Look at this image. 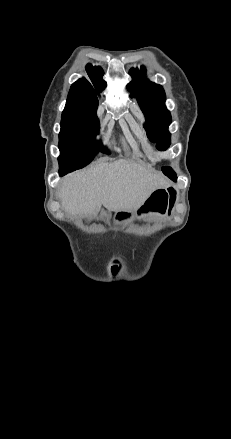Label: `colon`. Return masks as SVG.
Segmentation results:
<instances>
[{"label": "colon", "instance_id": "colon-1", "mask_svg": "<svg viewBox=\"0 0 231 439\" xmlns=\"http://www.w3.org/2000/svg\"><path fill=\"white\" fill-rule=\"evenodd\" d=\"M170 193H171V195H174L175 194V190L173 188H170Z\"/></svg>", "mask_w": 231, "mask_h": 439}]
</instances>
